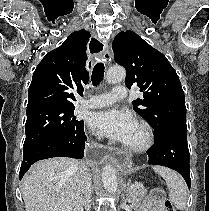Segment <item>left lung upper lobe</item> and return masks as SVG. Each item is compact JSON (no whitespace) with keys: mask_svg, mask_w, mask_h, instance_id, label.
I'll list each match as a JSON object with an SVG mask.
<instances>
[{"mask_svg":"<svg viewBox=\"0 0 209 211\" xmlns=\"http://www.w3.org/2000/svg\"><path fill=\"white\" fill-rule=\"evenodd\" d=\"M112 48L115 61L126 69L127 87L138 86L143 93L133 101L134 110L152 125L155 139L186 125L184 92L167 58L131 30L120 32Z\"/></svg>","mask_w":209,"mask_h":211,"instance_id":"5c2ea615","label":"left lung upper lobe"}]
</instances>
